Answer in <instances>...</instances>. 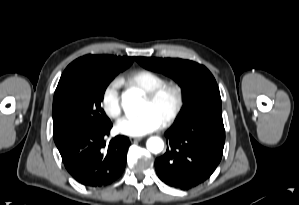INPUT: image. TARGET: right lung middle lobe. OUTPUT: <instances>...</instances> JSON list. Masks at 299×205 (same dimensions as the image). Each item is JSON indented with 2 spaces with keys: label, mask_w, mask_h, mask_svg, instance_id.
<instances>
[{
  "label": "right lung middle lobe",
  "mask_w": 299,
  "mask_h": 205,
  "mask_svg": "<svg viewBox=\"0 0 299 205\" xmlns=\"http://www.w3.org/2000/svg\"><path fill=\"white\" fill-rule=\"evenodd\" d=\"M119 72L65 69L53 100V137L57 147L77 133L111 123L101 101L108 84Z\"/></svg>",
  "instance_id": "dd1d6c3e"
}]
</instances>
